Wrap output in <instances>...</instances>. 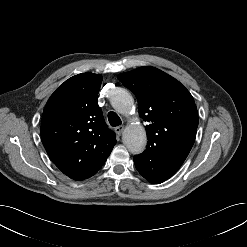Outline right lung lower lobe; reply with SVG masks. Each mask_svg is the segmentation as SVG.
Returning a JSON list of instances; mask_svg holds the SVG:
<instances>
[{"label":"right lung lower lobe","instance_id":"right-lung-lower-lobe-1","mask_svg":"<svg viewBox=\"0 0 247 247\" xmlns=\"http://www.w3.org/2000/svg\"><path fill=\"white\" fill-rule=\"evenodd\" d=\"M101 167L102 166L98 167L97 169H95L94 171H92V172H90V173H88L86 175H83L81 177L76 178L75 180H84L86 178H89V177L93 176Z\"/></svg>","mask_w":247,"mask_h":247}]
</instances>
